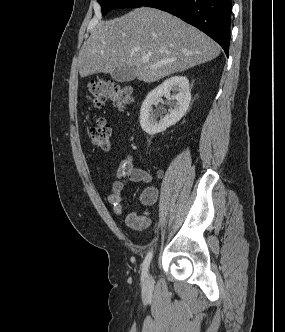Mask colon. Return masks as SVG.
<instances>
[{
    "instance_id": "colon-1",
    "label": "colon",
    "mask_w": 285,
    "mask_h": 332,
    "mask_svg": "<svg viewBox=\"0 0 285 332\" xmlns=\"http://www.w3.org/2000/svg\"><path fill=\"white\" fill-rule=\"evenodd\" d=\"M88 100L97 109L101 108L106 100H111L118 109H124L132 101L133 94L130 86L122 85L112 80H94L88 86ZM90 138L92 143L107 150L110 145L111 129L102 117H97L90 124Z\"/></svg>"
}]
</instances>
